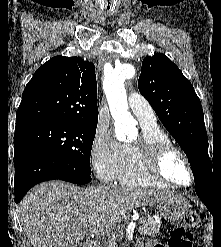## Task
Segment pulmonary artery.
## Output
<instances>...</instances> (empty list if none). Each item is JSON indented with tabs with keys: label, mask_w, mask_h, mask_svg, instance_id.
Masks as SVG:
<instances>
[{
	"label": "pulmonary artery",
	"mask_w": 221,
	"mask_h": 247,
	"mask_svg": "<svg viewBox=\"0 0 221 247\" xmlns=\"http://www.w3.org/2000/svg\"><path fill=\"white\" fill-rule=\"evenodd\" d=\"M129 108L144 126L156 125L155 113L148 101L139 93L133 92L128 97Z\"/></svg>",
	"instance_id": "1"
}]
</instances>
